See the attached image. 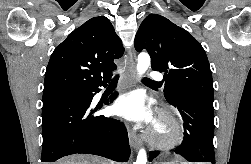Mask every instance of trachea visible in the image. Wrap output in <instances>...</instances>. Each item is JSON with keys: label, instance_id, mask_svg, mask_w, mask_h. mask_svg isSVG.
Segmentation results:
<instances>
[{"label": "trachea", "instance_id": "trachea-1", "mask_svg": "<svg viewBox=\"0 0 251 164\" xmlns=\"http://www.w3.org/2000/svg\"><path fill=\"white\" fill-rule=\"evenodd\" d=\"M118 79H119V75H116V76L113 78L112 82H117ZM143 81H144V82H148V83H157V82H155V81H153V80H151V79H149V78H146V77L143 78Z\"/></svg>", "mask_w": 251, "mask_h": 164}]
</instances>
